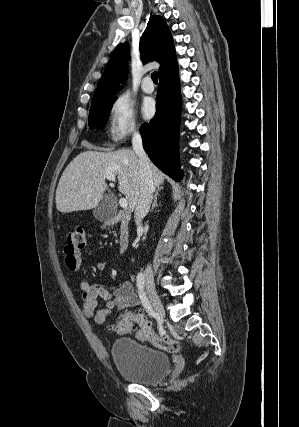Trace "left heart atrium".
<instances>
[{
  "mask_svg": "<svg viewBox=\"0 0 299 427\" xmlns=\"http://www.w3.org/2000/svg\"><path fill=\"white\" fill-rule=\"evenodd\" d=\"M155 112V104L151 99L146 100L142 106V113L145 118H150Z\"/></svg>",
  "mask_w": 299,
  "mask_h": 427,
  "instance_id": "obj_1",
  "label": "left heart atrium"
}]
</instances>
